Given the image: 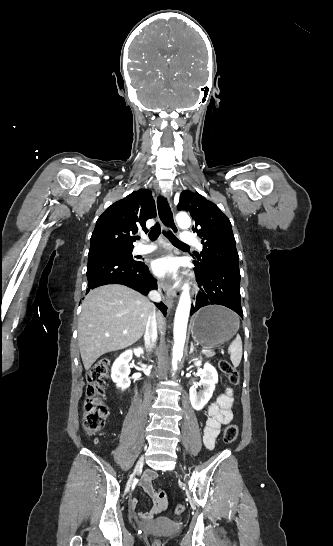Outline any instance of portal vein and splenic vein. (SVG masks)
<instances>
[{
	"label": "portal vein and splenic vein",
	"mask_w": 333,
	"mask_h": 546,
	"mask_svg": "<svg viewBox=\"0 0 333 546\" xmlns=\"http://www.w3.org/2000/svg\"><path fill=\"white\" fill-rule=\"evenodd\" d=\"M209 352V350H202V353H207Z\"/></svg>",
	"instance_id": "portal-vein-and-splenic-vein-1"
}]
</instances>
